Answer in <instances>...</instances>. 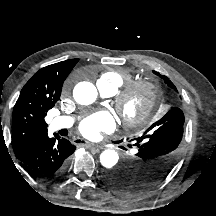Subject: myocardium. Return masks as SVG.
<instances>
[{"instance_id":"myocardium-1","label":"myocardium","mask_w":216,"mask_h":216,"mask_svg":"<svg viewBox=\"0 0 216 216\" xmlns=\"http://www.w3.org/2000/svg\"><path fill=\"white\" fill-rule=\"evenodd\" d=\"M137 93L142 94L143 102L138 110L128 111L127 102ZM157 95V87L152 81H131L116 94L114 106L127 125L139 126L145 123L151 116L155 107Z\"/></svg>"}]
</instances>
